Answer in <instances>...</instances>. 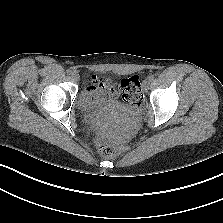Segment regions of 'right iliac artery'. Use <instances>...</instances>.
Here are the masks:
<instances>
[{"label": "right iliac artery", "mask_w": 223, "mask_h": 223, "mask_svg": "<svg viewBox=\"0 0 223 223\" xmlns=\"http://www.w3.org/2000/svg\"><path fill=\"white\" fill-rule=\"evenodd\" d=\"M67 74H68V75H71V74H72V70L68 69V70H67Z\"/></svg>", "instance_id": "obj_1"}]
</instances>
